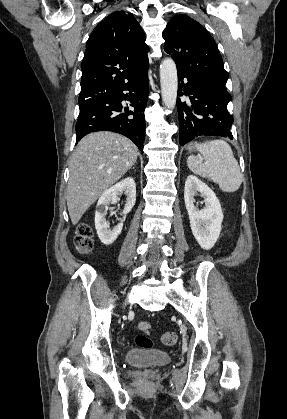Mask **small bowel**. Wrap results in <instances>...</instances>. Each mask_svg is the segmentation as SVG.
Listing matches in <instances>:
<instances>
[{
  "label": "small bowel",
  "instance_id": "small-bowel-1",
  "mask_svg": "<svg viewBox=\"0 0 287 419\" xmlns=\"http://www.w3.org/2000/svg\"><path fill=\"white\" fill-rule=\"evenodd\" d=\"M138 327H139V329H141L142 331H145V332H147L148 329H149V325L145 322L139 323Z\"/></svg>",
  "mask_w": 287,
  "mask_h": 419
}]
</instances>
